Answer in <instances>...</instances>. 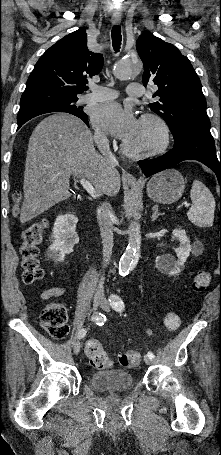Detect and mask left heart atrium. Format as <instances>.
I'll return each mask as SVG.
<instances>
[{
	"label": "left heart atrium",
	"instance_id": "obj_1",
	"mask_svg": "<svg viewBox=\"0 0 221 455\" xmlns=\"http://www.w3.org/2000/svg\"><path fill=\"white\" fill-rule=\"evenodd\" d=\"M93 124L117 138L128 141L136 133L139 121L130 107L117 103L98 106L92 116Z\"/></svg>",
	"mask_w": 221,
	"mask_h": 455
}]
</instances>
